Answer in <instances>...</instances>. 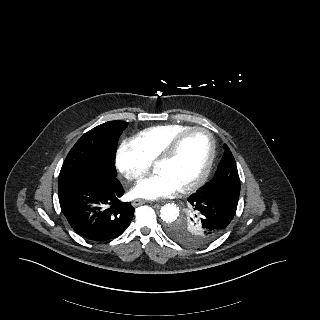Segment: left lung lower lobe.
<instances>
[{
	"instance_id": "left-lung-lower-lobe-1",
	"label": "left lung lower lobe",
	"mask_w": 320,
	"mask_h": 320,
	"mask_svg": "<svg viewBox=\"0 0 320 320\" xmlns=\"http://www.w3.org/2000/svg\"><path fill=\"white\" fill-rule=\"evenodd\" d=\"M238 199L224 193H210L201 189L188 201L200 214L204 233L212 241L226 231L235 215Z\"/></svg>"
}]
</instances>
